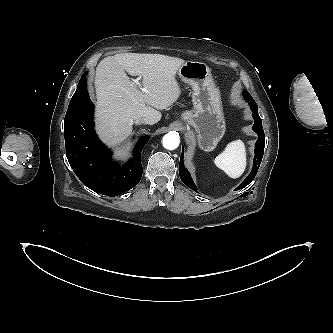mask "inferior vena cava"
<instances>
[{
	"instance_id": "602c4592",
	"label": "inferior vena cava",
	"mask_w": 333,
	"mask_h": 333,
	"mask_svg": "<svg viewBox=\"0 0 333 333\" xmlns=\"http://www.w3.org/2000/svg\"><path fill=\"white\" fill-rule=\"evenodd\" d=\"M136 124H150V121L146 117H138L134 120Z\"/></svg>"
}]
</instances>
